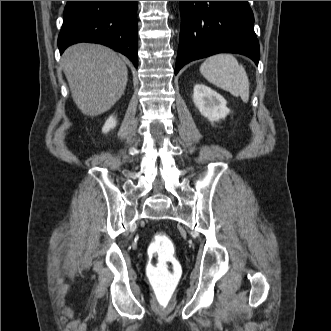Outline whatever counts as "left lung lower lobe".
<instances>
[{
    "instance_id": "obj_1",
    "label": "left lung lower lobe",
    "mask_w": 331,
    "mask_h": 331,
    "mask_svg": "<svg viewBox=\"0 0 331 331\" xmlns=\"http://www.w3.org/2000/svg\"><path fill=\"white\" fill-rule=\"evenodd\" d=\"M181 29L175 74L216 53H238L258 65L259 42L248 1H180Z\"/></svg>"
}]
</instances>
